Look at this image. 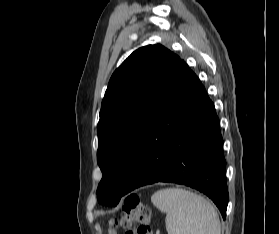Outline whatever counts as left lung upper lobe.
<instances>
[{"label": "left lung upper lobe", "instance_id": "obj_1", "mask_svg": "<svg viewBox=\"0 0 279 234\" xmlns=\"http://www.w3.org/2000/svg\"><path fill=\"white\" fill-rule=\"evenodd\" d=\"M179 56L162 45L135 50L115 70L97 125V161L102 180L98 202L116 206L136 162L161 98L175 73Z\"/></svg>", "mask_w": 279, "mask_h": 234}]
</instances>
